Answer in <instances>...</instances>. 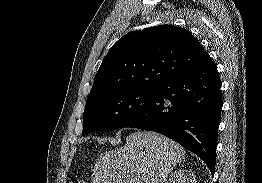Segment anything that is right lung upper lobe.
<instances>
[{"label":"right lung upper lobe","mask_w":262,"mask_h":183,"mask_svg":"<svg viewBox=\"0 0 262 183\" xmlns=\"http://www.w3.org/2000/svg\"><path fill=\"white\" fill-rule=\"evenodd\" d=\"M211 61L186 29L161 25L124 35L107 53L87 100L130 88L156 89Z\"/></svg>","instance_id":"right-lung-upper-lobe-1"}]
</instances>
